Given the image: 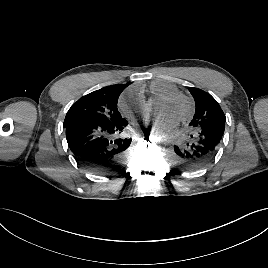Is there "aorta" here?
I'll use <instances>...</instances> for the list:
<instances>
[{
	"instance_id": "1",
	"label": "aorta",
	"mask_w": 268,
	"mask_h": 268,
	"mask_svg": "<svg viewBox=\"0 0 268 268\" xmlns=\"http://www.w3.org/2000/svg\"><path fill=\"white\" fill-rule=\"evenodd\" d=\"M166 138H167V135L162 130H159L154 134V139L159 143L164 142L166 140Z\"/></svg>"
}]
</instances>
